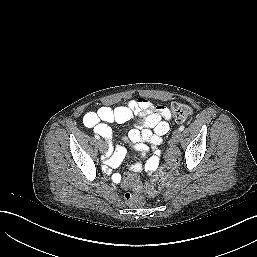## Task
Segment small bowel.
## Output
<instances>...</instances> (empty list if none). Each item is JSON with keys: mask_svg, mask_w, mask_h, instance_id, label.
Wrapping results in <instances>:
<instances>
[{"mask_svg": "<svg viewBox=\"0 0 257 257\" xmlns=\"http://www.w3.org/2000/svg\"><path fill=\"white\" fill-rule=\"evenodd\" d=\"M134 116H137L138 120L124 140L132 143L141 154H149L144 168L147 172H154L160 162V152L156 146L162 142V137L169 130L171 112L167 107L154 106L146 98H137L122 106L103 105L95 111H88L84 115L83 123L107 140L110 146L106 164L109 168H116L125 159L126 151L119 145L112 148V129L109 124L124 123ZM112 178L116 183L121 180L118 174H113ZM124 187L128 186L124 184Z\"/></svg>", "mask_w": 257, "mask_h": 257, "instance_id": "c3829d8e", "label": "small bowel"}]
</instances>
